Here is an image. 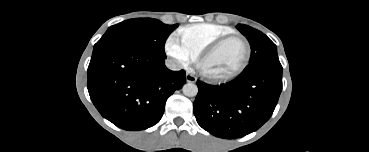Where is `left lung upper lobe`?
<instances>
[{"label": "left lung upper lobe", "mask_w": 369, "mask_h": 152, "mask_svg": "<svg viewBox=\"0 0 369 152\" xmlns=\"http://www.w3.org/2000/svg\"><path fill=\"white\" fill-rule=\"evenodd\" d=\"M238 30L246 36L251 46L249 64L243 73H250L261 68H282L277 56L276 45L262 32L243 24Z\"/></svg>", "instance_id": "1"}]
</instances>
